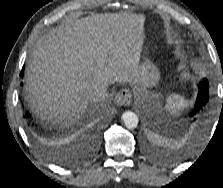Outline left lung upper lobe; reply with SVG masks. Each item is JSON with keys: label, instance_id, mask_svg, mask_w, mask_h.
<instances>
[{"label": "left lung upper lobe", "instance_id": "obj_1", "mask_svg": "<svg viewBox=\"0 0 223 188\" xmlns=\"http://www.w3.org/2000/svg\"><path fill=\"white\" fill-rule=\"evenodd\" d=\"M199 87L208 90V89H209V84H208L207 79H204L203 82H201V83L199 84Z\"/></svg>", "mask_w": 223, "mask_h": 188}]
</instances>
